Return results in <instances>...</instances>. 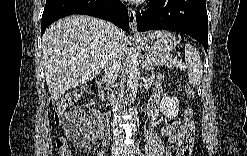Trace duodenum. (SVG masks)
<instances>
[{"instance_id":"1","label":"duodenum","mask_w":247,"mask_h":156,"mask_svg":"<svg viewBox=\"0 0 247 156\" xmlns=\"http://www.w3.org/2000/svg\"><path fill=\"white\" fill-rule=\"evenodd\" d=\"M105 91H106V90L103 88V89H102V93H105Z\"/></svg>"}]
</instances>
